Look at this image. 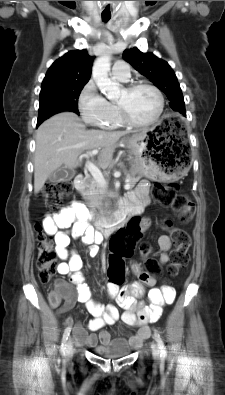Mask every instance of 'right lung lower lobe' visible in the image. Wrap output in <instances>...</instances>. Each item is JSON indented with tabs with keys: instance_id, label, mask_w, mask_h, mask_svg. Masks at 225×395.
Masks as SVG:
<instances>
[{
	"instance_id": "98d812e1",
	"label": "right lung lower lobe",
	"mask_w": 225,
	"mask_h": 395,
	"mask_svg": "<svg viewBox=\"0 0 225 395\" xmlns=\"http://www.w3.org/2000/svg\"><path fill=\"white\" fill-rule=\"evenodd\" d=\"M40 124H41V123H38V122H37V126H39Z\"/></svg>"
}]
</instances>
